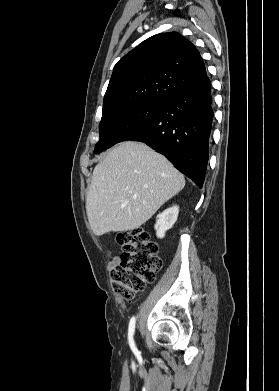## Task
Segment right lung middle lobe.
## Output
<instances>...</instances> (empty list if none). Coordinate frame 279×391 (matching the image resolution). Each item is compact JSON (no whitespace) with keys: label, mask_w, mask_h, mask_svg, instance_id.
Instances as JSON below:
<instances>
[{"label":"right lung middle lobe","mask_w":279,"mask_h":391,"mask_svg":"<svg viewBox=\"0 0 279 391\" xmlns=\"http://www.w3.org/2000/svg\"><path fill=\"white\" fill-rule=\"evenodd\" d=\"M162 105L161 102H137L103 113L99 124L100 140L94 153L123 141L134 130L152 121Z\"/></svg>","instance_id":"dd1d6c3e"}]
</instances>
